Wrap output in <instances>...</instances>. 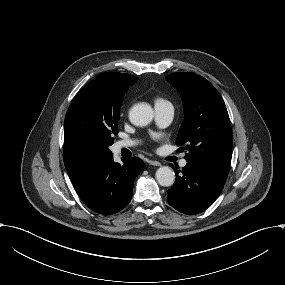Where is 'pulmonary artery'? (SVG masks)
<instances>
[{"label": "pulmonary artery", "mask_w": 285, "mask_h": 285, "mask_svg": "<svg viewBox=\"0 0 285 285\" xmlns=\"http://www.w3.org/2000/svg\"><path fill=\"white\" fill-rule=\"evenodd\" d=\"M158 119L161 121L160 126L157 127L158 133H163L170 124V120L173 118L174 109L170 102H166L161 105L155 106ZM133 143L131 141H119L112 146V152L118 154L123 148H128ZM187 165L186 159L180 161V166L185 167Z\"/></svg>", "instance_id": "obj_1"}]
</instances>
